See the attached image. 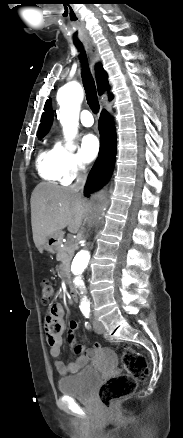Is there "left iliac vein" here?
Masks as SVG:
<instances>
[{
    "label": "left iliac vein",
    "instance_id": "obj_1",
    "mask_svg": "<svg viewBox=\"0 0 183 438\" xmlns=\"http://www.w3.org/2000/svg\"><path fill=\"white\" fill-rule=\"evenodd\" d=\"M93 326H94L96 333L102 334L104 332L103 324L96 318H94V320H93Z\"/></svg>",
    "mask_w": 183,
    "mask_h": 438
}]
</instances>
